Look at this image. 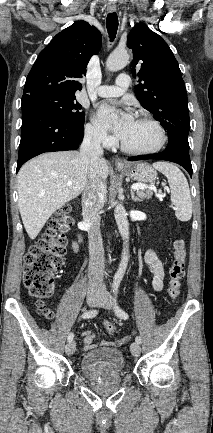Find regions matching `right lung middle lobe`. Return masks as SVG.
<instances>
[{
	"instance_id": "right-lung-middle-lobe-1",
	"label": "right lung middle lobe",
	"mask_w": 213,
	"mask_h": 433,
	"mask_svg": "<svg viewBox=\"0 0 213 433\" xmlns=\"http://www.w3.org/2000/svg\"><path fill=\"white\" fill-rule=\"evenodd\" d=\"M75 99V95L38 92L22 96L21 108L34 107L42 109L76 128H83L85 113L79 111L82 106Z\"/></svg>"
}]
</instances>
